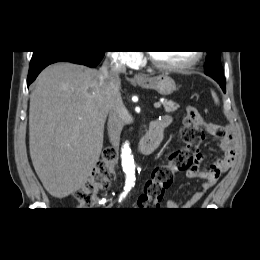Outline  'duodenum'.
I'll list each match as a JSON object with an SVG mask.
<instances>
[{"instance_id":"obj_1","label":"duodenum","mask_w":260,"mask_h":260,"mask_svg":"<svg viewBox=\"0 0 260 260\" xmlns=\"http://www.w3.org/2000/svg\"><path fill=\"white\" fill-rule=\"evenodd\" d=\"M166 122L156 119L150 122L146 135L138 142L135 151L142 155H149L158 148L163 138Z\"/></svg>"}]
</instances>
